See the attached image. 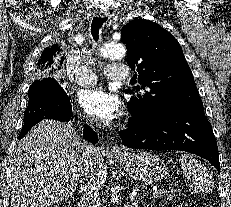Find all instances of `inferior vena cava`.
I'll return each instance as SVG.
<instances>
[{"instance_id":"inferior-vena-cava-1","label":"inferior vena cava","mask_w":231,"mask_h":207,"mask_svg":"<svg viewBox=\"0 0 231 207\" xmlns=\"http://www.w3.org/2000/svg\"><path fill=\"white\" fill-rule=\"evenodd\" d=\"M86 164L80 176V193L82 207H101L96 168L103 163L99 149L83 140Z\"/></svg>"}]
</instances>
